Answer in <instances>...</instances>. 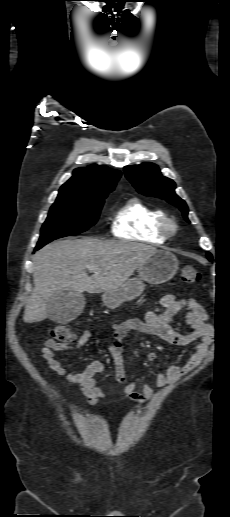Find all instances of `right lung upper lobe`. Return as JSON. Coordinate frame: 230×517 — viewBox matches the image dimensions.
Masks as SVG:
<instances>
[{"label": "right lung upper lobe", "mask_w": 230, "mask_h": 517, "mask_svg": "<svg viewBox=\"0 0 230 517\" xmlns=\"http://www.w3.org/2000/svg\"><path fill=\"white\" fill-rule=\"evenodd\" d=\"M119 178L120 172L103 165L75 169L72 178L61 186L57 199L97 197L104 192H111Z\"/></svg>", "instance_id": "cb5924a9"}]
</instances>
